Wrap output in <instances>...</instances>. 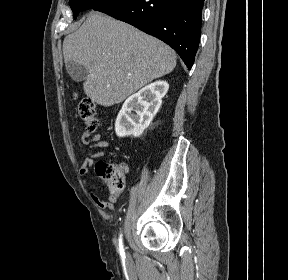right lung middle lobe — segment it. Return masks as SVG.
Returning a JSON list of instances; mask_svg holds the SVG:
<instances>
[{"label": "right lung middle lobe", "instance_id": "dd1d6c3e", "mask_svg": "<svg viewBox=\"0 0 288 280\" xmlns=\"http://www.w3.org/2000/svg\"><path fill=\"white\" fill-rule=\"evenodd\" d=\"M110 1L112 0H69V5L74 13V18H76L81 11L93 9Z\"/></svg>", "mask_w": 288, "mask_h": 280}]
</instances>
